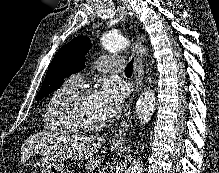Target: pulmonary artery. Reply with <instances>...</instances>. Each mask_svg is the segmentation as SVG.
Segmentation results:
<instances>
[{
	"label": "pulmonary artery",
	"instance_id": "obj_1",
	"mask_svg": "<svg viewBox=\"0 0 219 173\" xmlns=\"http://www.w3.org/2000/svg\"><path fill=\"white\" fill-rule=\"evenodd\" d=\"M123 58L120 56H102L96 61L97 67L104 72L119 71L123 67ZM69 81L75 84L82 82V76L80 74H74L69 78Z\"/></svg>",
	"mask_w": 219,
	"mask_h": 173
}]
</instances>
